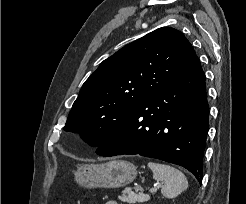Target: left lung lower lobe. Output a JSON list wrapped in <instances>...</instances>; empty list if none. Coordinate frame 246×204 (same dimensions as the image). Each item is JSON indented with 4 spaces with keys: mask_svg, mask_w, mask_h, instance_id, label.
Returning a JSON list of instances; mask_svg holds the SVG:
<instances>
[{
    "mask_svg": "<svg viewBox=\"0 0 246 204\" xmlns=\"http://www.w3.org/2000/svg\"><path fill=\"white\" fill-rule=\"evenodd\" d=\"M208 116L205 74L195 55L127 115L96 153L160 159L186 168L201 182Z\"/></svg>",
    "mask_w": 246,
    "mask_h": 204,
    "instance_id": "1",
    "label": "left lung lower lobe"
}]
</instances>
